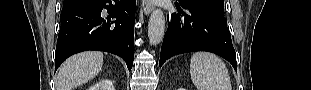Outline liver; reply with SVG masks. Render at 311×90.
Listing matches in <instances>:
<instances>
[{
	"label": "liver",
	"instance_id": "1",
	"mask_svg": "<svg viewBox=\"0 0 311 90\" xmlns=\"http://www.w3.org/2000/svg\"><path fill=\"white\" fill-rule=\"evenodd\" d=\"M103 53L88 51L68 58L59 68L57 90H72L92 78L102 69Z\"/></svg>",
	"mask_w": 311,
	"mask_h": 90
}]
</instances>
